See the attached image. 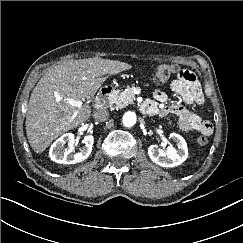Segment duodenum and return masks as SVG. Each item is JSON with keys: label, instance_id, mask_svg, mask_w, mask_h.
<instances>
[{"label": "duodenum", "instance_id": "duodenum-1", "mask_svg": "<svg viewBox=\"0 0 243 243\" xmlns=\"http://www.w3.org/2000/svg\"><path fill=\"white\" fill-rule=\"evenodd\" d=\"M114 91L115 89L112 86H106L102 88L96 96L95 103H94L95 108L102 109L106 107Z\"/></svg>", "mask_w": 243, "mask_h": 243}]
</instances>
